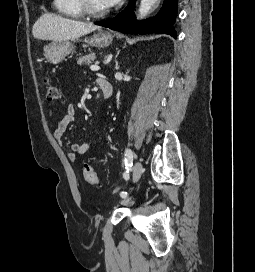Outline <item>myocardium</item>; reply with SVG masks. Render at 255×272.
<instances>
[{
    "label": "myocardium",
    "instance_id": "1",
    "mask_svg": "<svg viewBox=\"0 0 255 272\" xmlns=\"http://www.w3.org/2000/svg\"><path fill=\"white\" fill-rule=\"evenodd\" d=\"M80 5L82 8L83 13L90 17H103L108 14V10L104 11H96L95 9L92 8L90 0H80Z\"/></svg>",
    "mask_w": 255,
    "mask_h": 272
}]
</instances>
